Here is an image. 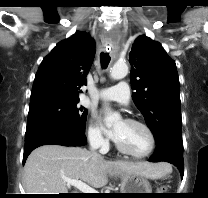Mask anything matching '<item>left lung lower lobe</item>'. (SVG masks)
Segmentation results:
<instances>
[{
    "mask_svg": "<svg viewBox=\"0 0 208 198\" xmlns=\"http://www.w3.org/2000/svg\"><path fill=\"white\" fill-rule=\"evenodd\" d=\"M150 162L165 161L175 165L183 178L184 162H183V147L176 143L165 140L157 144V148L153 156L149 159Z\"/></svg>",
    "mask_w": 208,
    "mask_h": 198,
    "instance_id": "left-lung-lower-lobe-1",
    "label": "left lung lower lobe"
}]
</instances>
